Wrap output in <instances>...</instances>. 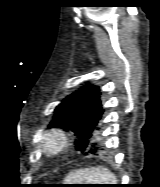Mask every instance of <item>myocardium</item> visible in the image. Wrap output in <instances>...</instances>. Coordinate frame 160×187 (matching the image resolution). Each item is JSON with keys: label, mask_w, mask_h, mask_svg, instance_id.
<instances>
[{"label": "myocardium", "mask_w": 160, "mask_h": 187, "mask_svg": "<svg viewBox=\"0 0 160 187\" xmlns=\"http://www.w3.org/2000/svg\"><path fill=\"white\" fill-rule=\"evenodd\" d=\"M69 145L68 135L61 129L48 131L41 143V150L48 157H53L64 151Z\"/></svg>", "instance_id": "obj_1"}]
</instances>
